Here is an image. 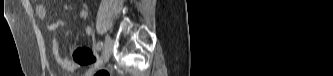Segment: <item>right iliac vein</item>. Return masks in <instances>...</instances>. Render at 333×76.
Segmentation results:
<instances>
[{
  "label": "right iliac vein",
  "instance_id": "right-iliac-vein-1",
  "mask_svg": "<svg viewBox=\"0 0 333 76\" xmlns=\"http://www.w3.org/2000/svg\"><path fill=\"white\" fill-rule=\"evenodd\" d=\"M111 51H112V40L109 36H107L105 39L102 56H101L100 62L97 66L103 65L109 60Z\"/></svg>",
  "mask_w": 333,
  "mask_h": 76
}]
</instances>
